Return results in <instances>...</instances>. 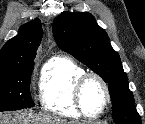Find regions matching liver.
Masks as SVG:
<instances>
[{
    "instance_id": "obj_1",
    "label": "liver",
    "mask_w": 145,
    "mask_h": 124,
    "mask_svg": "<svg viewBox=\"0 0 145 124\" xmlns=\"http://www.w3.org/2000/svg\"><path fill=\"white\" fill-rule=\"evenodd\" d=\"M0 124H73L49 114L24 111L21 114H0Z\"/></svg>"
}]
</instances>
